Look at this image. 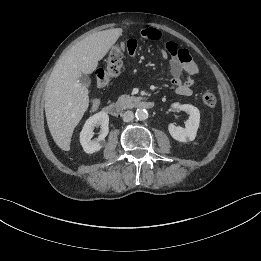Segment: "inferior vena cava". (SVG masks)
Instances as JSON below:
<instances>
[{
  "mask_svg": "<svg viewBox=\"0 0 261 261\" xmlns=\"http://www.w3.org/2000/svg\"><path fill=\"white\" fill-rule=\"evenodd\" d=\"M122 118L124 122H130L134 118V114L132 111H126L122 114Z\"/></svg>",
  "mask_w": 261,
  "mask_h": 261,
  "instance_id": "inferior-vena-cava-1",
  "label": "inferior vena cava"
}]
</instances>
